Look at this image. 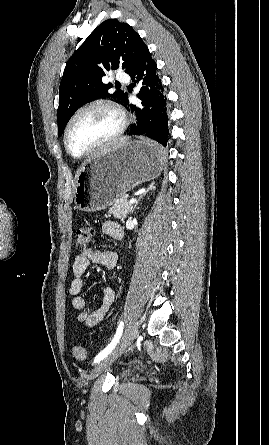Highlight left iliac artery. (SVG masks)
Segmentation results:
<instances>
[{
  "label": "left iliac artery",
  "mask_w": 269,
  "mask_h": 445,
  "mask_svg": "<svg viewBox=\"0 0 269 445\" xmlns=\"http://www.w3.org/2000/svg\"><path fill=\"white\" fill-rule=\"evenodd\" d=\"M123 327H124V322L121 321L118 325L116 334H115L112 342L105 349H103L100 353H98V355L94 359V363L100 362L115 348V346L117 345V343L122 335Z\"/></svg>",
  "instance_id": "44dca946"
}]
</instances>
